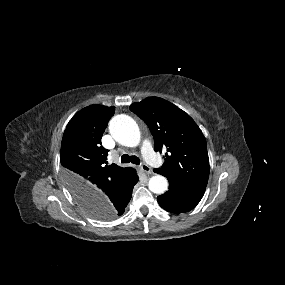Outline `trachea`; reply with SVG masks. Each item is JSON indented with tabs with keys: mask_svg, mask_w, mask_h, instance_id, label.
Returning <instances> with one entry per match:
<instances>
[{
	"mask_svg": "<svg viewBox=\"0 0 285 285\" xmlns=\"http://www.w3.org/2000/svg\"><path fill=\"white\" fill-rule=\"evenodd\" d=\"M130 162L139 165L140 159L137 156H129L128 154L122 155L121 163H130Z\"/></svg>",
	"mask_w": 285,
	"mask_h": 285,
	"instance_id": "obj_1",
	"label": "trachea"
}]
</instances>
